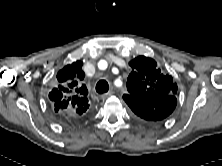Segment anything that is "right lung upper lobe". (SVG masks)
Returning <instances> with one entry per match:
<instances>
[{
  "label": "right lung upper lobe",
  "mask_w": 222,
  "mask_h": 166,
  "mask_svg": "<svg viewBox=\"0 0 222 166\" xmlns=\"http://www.w3.org/2000/svg\"><path fill=\"white\" fill-rule=\"evenodd\" d=\"M81 61L73 62L62 68L55 79V87L49 93L50 104L57 115L63 119L80 118L89 108L86 98L87 89Z\"/></svg>",
  "instance_id": "right-lung-upper-lobe-1"
}]
</instances>
